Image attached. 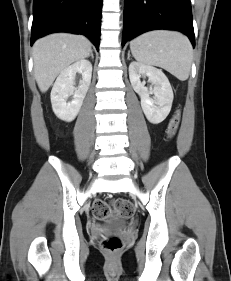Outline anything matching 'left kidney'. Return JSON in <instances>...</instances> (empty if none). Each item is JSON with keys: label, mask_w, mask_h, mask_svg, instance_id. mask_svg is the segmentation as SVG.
Segmentation results:
<instances>
[{"label": "left kidney", "mask_w": 231, "mask_h": 281, "mask_svg": "<svg viewBox=\"0 0 231 281\" xmlns=\"http://www.w3.org/2000/svg\"><path fill=\"white\" fill-rule=\"evenodd\" d=\"M147 76L154 86L151 91L145 87L141 77ZM129 78L134 91L140 96L142 110L152 124H159L170 113L173 91L168 78L162 70L133 61L129 65ZM154 94V99L150 97Z\"/></svg>", "instance_id": "left-kidney-1"}]
</instances>
